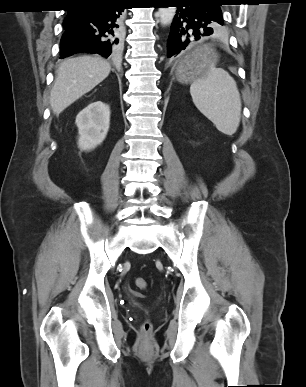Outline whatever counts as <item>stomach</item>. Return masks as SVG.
I'll return each mask as SVG.
<instances>
[{
  "label": "stomach",
  "instance_id": "obj_1",
  "mask_svg": "<svg viewBox=\"0 0 306 387\" xmlns=\"http://www.w3.org/2000/svg\"><path fill=\"white\" fill-rule=\"evenodd\" d=\"M216 58V53L208 45L198 47L176 68L177 80L182 84L191 83L212 67Z\"/></svg>",
  "mask_w": 306,
  "mask_h": 387
}]
</instances>
